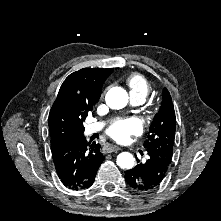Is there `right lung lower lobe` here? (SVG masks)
<instances>
[{"instance_id":"98d812e1","label":"right lung lower lobe","mask_w":221,"mask_h":221,"mask_svg":"<svg viewBox=\"0 0 221 221\" xmlns=\"http://www.w3.org/2000/svg\"><path fill=\"white\" fill-rule=\"evenodd\" d=\"M99 148L96 142L87 143L82 134L51 150L58 177L66 187L79 190L93 184L104 159Z\"/></svg>"}]
</instances>
